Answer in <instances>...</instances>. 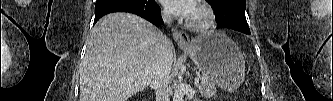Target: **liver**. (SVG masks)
Masks as SVG:
<instances>
[{"label":"liver","instance_id":"liver-1","mask_svg":"<svg viewBox=\"0 0 333 101\" xmlns=\"http://www.w3.org/2000/svg\"><path fill=\"white\" fill-rule=\"evenodd\" d=\"M164 36L145 19L112 13L93 28L80 69V101H127L153 79Z\"/></svg>","mask_w":333,"mask_h":101}]
</instances>
